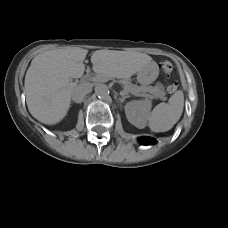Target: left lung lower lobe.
<instances>
[{
  "label": "left lung lower lobe",
  "instance_id": "left-lung-lower-lobe-1",
  "mask_svg": "<svg viewBox=\"0 0 228 228\" xmlns=\"http://www.w3.org/2000/svg\"><path fill=\"white\" fill-rule=\"evenodd\" d=\"M139 140H140V143L143 145H149L156 142L153 138H150V137H141Z\"/></svg>",
  "mask_w": 228,
  "mask_h": 228
}]
</instances>
